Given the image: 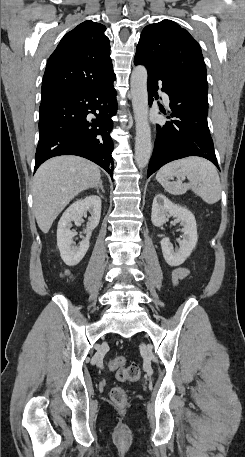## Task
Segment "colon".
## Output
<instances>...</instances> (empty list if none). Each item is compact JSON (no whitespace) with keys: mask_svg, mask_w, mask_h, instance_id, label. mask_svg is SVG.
<instances>
[{"mask_svg":"<svg viewBox=\"0 0 245 457\" xmlns=\"http://www.w3.org/2000/svg\"><path fill=\"white\" fill-rule=\"evenodd\" d=\"M112 370L116 371V379L119 381H136L140 378L141 370L139 365L131 364L126 366V359L123 356H116L109 364ZM112 402L123 407L127 402L126 390L120 386L113 387L110 392Z\"/></svg>","mask_w":245,"mask_h":457,"instance_id":"colon-1","label":"colon"}]
</instances>
